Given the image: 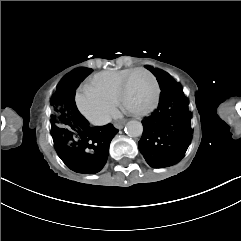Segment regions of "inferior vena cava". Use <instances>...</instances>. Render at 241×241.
I'll use <instances>...</instances> for the list:
<instances>
[{
    "label": "inferior vena cava",
    "instance_id": "inferior-vena-cava-1",
    "mask_svg": "<svg viewBox=\"0 0 241 241\" xmlns=\"http://www.w3.org/2000/svg\"><path fill=\"white\" fill-rule=\"evenodd\" d=\"M111 120H112V119H111L110 116H105V117H103L102 119L97 120V121L94 122L93 124H94V125H98V126L106 125V124L110 123Z\"/></svg>",
    "mask_w": 241,
    "mask_h": 241
}]
</instances>
